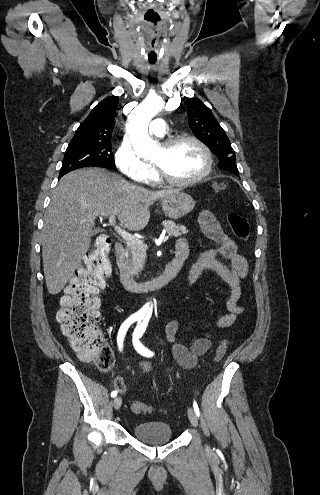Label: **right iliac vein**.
<instances>
[{
  "label": "right iliac vein",
  "mask_w": 320,
  "mask_h": 495,
  "mask_svg": "<svg viewBox=\"0 0 320 495\" xmlns=\"http://www.w3.org/2000/svg\"><path fill=\"white\" fill-rule=\"evenodd\" d=\"M122 404V398L121 397H116L113 401V406L115 410H118L121 407Z\"/></svg>",
  "instance_id": "63e3f726"
}]
</instances>
